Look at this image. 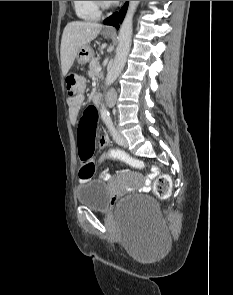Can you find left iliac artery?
<instances>
[{
    "instance_id": "44dca946",
    "label": "left iliac artery",
    "mask_w": 233,
    "mask_h": 295,
    "mask_svg": "<svg viewBox=\"0 0 233 295\" xmlns=\"http://www.w3.org/2000/svg\"><path fill=\"white\" fill-rule=\"evenodd\" d=\"M104 121L108 127V129L110 130L114 140L116 141V143L121 144V138L117 132V130L115 129L113 122L111 120V117H106L104 118Z\"/></svg>"
}]
</instances>
